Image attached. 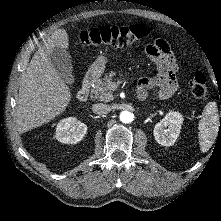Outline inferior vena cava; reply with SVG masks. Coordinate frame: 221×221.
Masks as SVG:
<instances>
[{"instance_id":"inferior-vena-cava-1","label":"inferior vena cava","mask_w":221,"mask_h":221,"mask_svg":"<svg viewBox=\"0 0 221 221\" xmlns=\"http://www.w3.org/2000/svg\"><path fill=\"white\" fill-rule=\"evenodd\" d=\"M110 110H111V108L107 104L98 103V104H94L92 106L93 113L98 114V115L107 114L110 112Z\"/></svg>"}]
</instances>
